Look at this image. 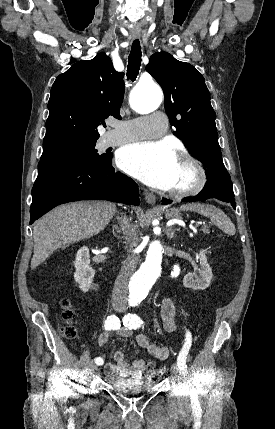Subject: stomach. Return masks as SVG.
I'll list each match as a JSON object with an SVG mask.
<instances>
[{
  "label": "stomach",
  "instance_id": "0dacf381",
  "mask_svg": "<svg viewBox=\"0 0 275 429\" xmlns=\"http://www.w3.org/2000/svg\"><path fill=\"white\" fill-rule=\"evenodd\" d=\"M165 216L168 219H180L181 218L180 212L175 208L166 209Z\"/></svg>",
  "mask_w": 275,
  "mask_h": 429
}]
</instances>
